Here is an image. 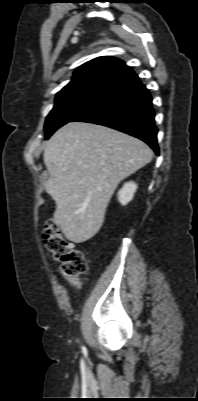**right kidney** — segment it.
I'll return each instance as SVG.
<instances>
[{
  "label": "right kidney",
  "mask_w": 198,
  "mask_h": 401,
  "mask_svg": "<svg viewBox=\"0 0 198 401\" xmlns=\"http://www.w3.org/2000/svg\"><path fill=\"white\" fill-rule=\"evenodd\" d=\"M137 184L134 182H127L118 192V200L122 205L128 204L134 197L137 190Z\"/></svg>",
  "instance_id": "obj_1"
}]
</instances>
